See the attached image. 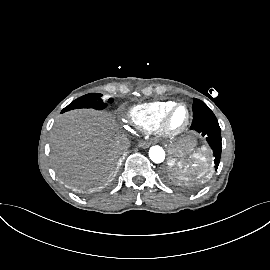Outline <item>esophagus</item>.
<instances>
[{"label": "esophagus", "instance_id": "esophagus-1", "mask_svg": "<svg viewBox=\"0 0 270 270\" xmlns=\"http://www.w3.org/2000/svg\"><path fill=\"white\" fill-rule=\"evenodd\" d=\"M151 145L150 142L142 141L140 142L139 146L142 148H148Z\"/></svg>", "mask_w": 270, "mask_h": 270}]
</instances>
